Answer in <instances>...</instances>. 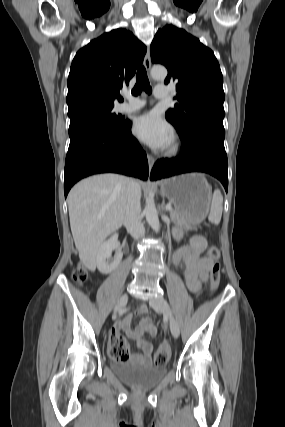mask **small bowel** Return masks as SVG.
I'll return each instance as SVG.
<instances>
[{
    "instance_id": "c3829d8e",
    "label": "small bowel",
    "mask_w": 285,
    "mask_h": 427,
    "mask_svg": "<svg viewBox=\"0 0 285 427\" xmlns=\"http://www.w3.org/2000/svg\"><path fill=\"white\" fill-rule=\"evenodd\" d=\"M206 246L207 242L204 237L192 236L188 243L181 246L173 256L175 266L183 262L186 284L195 293L200 290L202 282L207 279L212 264L210 258L204 255ZM146 312L145 306L139 307L136 311L137 314H145ZM132 319L133 314L129 313L118 321L111 331L110 339L113 336L121 337L120 331H124L129 338L137 342L140 349V352L130 353L126 362L149 363L154 347L145 338V335L156 336L158 329L148 316L142 317L135 328L131 327Z\"/></svg>"
}]
</instances>
